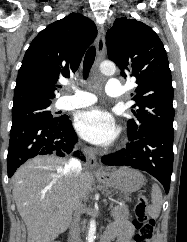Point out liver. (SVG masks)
I'll list each match as a JSON object with an SVG mask.
<instances>
[{
  "label": "liver",
  "instance_id": "1",
  "mask_svg": "<svg viewBox=\"0 0 187 242\" xmlns=\"http://www.w3.org/2000/svg\"><path fill=\"white\" fill-rule=\"evenodd\" d=\"M67 161L37 156L11 179L17 210L27 226V242H52L69 227L78 202L87 200L94 178L84 169L78 178L66 174Z\"/></svg>",
  "mask_w": 187,
  "mask_h": 242
}]
</instances>
